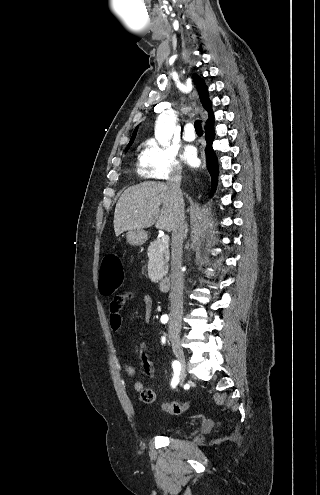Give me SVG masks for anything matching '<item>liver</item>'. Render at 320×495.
<instances>
[{"instance_id":"6515ba94","label":"liver","mask_w":320,"mask_h":495,"mask_svg":"<svg viewBox=\"0 0 320 495\" xmlns=\"http://www.w3.org/2000/svg\"><path fill=\"white\" fill-rule=\"evenodd\" d=\"M177 202L164 183L144 182L124 191L114 213V231L119 236L131 229L149 228L172 231Z\"/></svg>"}]
</instances>
